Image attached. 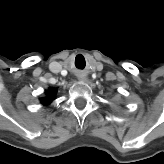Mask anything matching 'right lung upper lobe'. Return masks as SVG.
<instances>
[{
	"label": "right lung upper lobe",
	"instance_id": "obj_1",
	"mask_svg": "<svg viewBox=\"0 0 164 164\" xmlns=\"http://www.w3.org/2000/svg\"><path fill=\"white\" fill-rule=\"evenodd\" d=\"M56 92H57L56 89L49 88L46 91V97L40 100L41 103L44 104V105L49 104L52 101V99L54 98Z\"/></svg>",
	"mask_w": 164,
	"mask_h": 164
}]
</instances>
